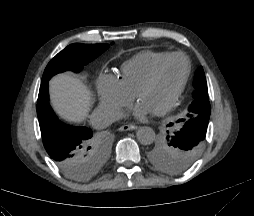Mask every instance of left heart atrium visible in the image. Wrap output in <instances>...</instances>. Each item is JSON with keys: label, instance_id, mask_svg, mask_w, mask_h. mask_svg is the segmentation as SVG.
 Returning <instances> with one entry per match:
<instances>
[{"label": "left heart atrium", "instance_id": "1", "mask_svg": "<svg viewBox=\"0 0 254 216\" xmlns=\"http://www.w3.org/2000/svg\"><path fill=\"white\" fill-rule=\"evenodd\" d=\"M154 113V111L142 102H138L134 107L131 115L138 119H144L146 116Z\"/></svg>", "mask_w": 254, "mask_h": 216}]
</instances>
